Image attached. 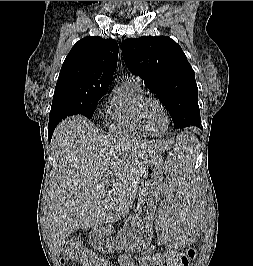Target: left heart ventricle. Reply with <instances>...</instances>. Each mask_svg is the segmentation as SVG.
Segmentation results:
<instances>
[{
  "mask_svg": "<svg viewBox=\"0 0 253 266\" xmlns=\"http://www.w3.org/2000/svg\"><path fill=\"white\" fill-rule=\"evenodd\" d=\"M142 123L151 132L160 134L167 125L162 108L155 102L149 101L144 104L141 112Z\"/></svg>",
  "mask_w": 253,
  "mask_h": 266,
  "instance_id": "b2bd125f",
  "label": "left heart ventricle"
}]
</instances>
